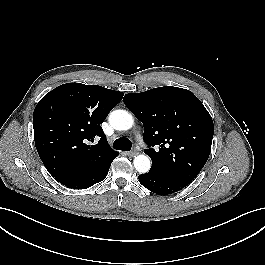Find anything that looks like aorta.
Listing matches in <instances>:
<instances>
[{
	"mask_svg": "<svg viewBox=\"0 0 265 265\" xmlns=\"http://www.w3.org/2000/svg\"><path fill=\"white\" fill-rule=\"evenodd\" d=\"M109 123L116 130H128L133 124L132 115L125 110H115L110 113ZM134 167L139 173H147L150 170L151 162L148 156L138 155L134 158Z\"/></svg>",
	"mask_w": 265,
	"mask_h": 265,
	"instance_id": "762f6f07",
	"label": "aorta"
}]
</instances>
